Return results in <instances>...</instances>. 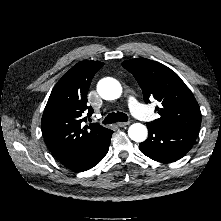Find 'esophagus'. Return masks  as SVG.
<instances>
[{"mask_svg": "<svg viewBox=\"0 0 221 221\" xmlns=\"http://www.w3.org/2000/svg\"><path fill=\"white\" fill-rule=\"evenodd\" d=\"M130 124V122L128 121V122H119L117 125L119 126V127H125V126H127V125H129Z\"/></svg>", "mask_w": 221, "mask_h": 221, "instance_id": "esophagus-1", "label": "esophagus"}]
</instances>
